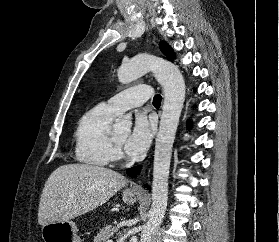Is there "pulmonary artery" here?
<instances>
[{
  "mask_svg": "<svg viewBox=\"0 0 279 242\" xmlns=\"http://www.w3.org/2000/svg\"><path fill=\"white\" fill-rule=\"evenodd\" d=\"M151 97V88L148 85H138L128 88L107 100L104 104L114 113L120 114L126 109L144 104Z\"/></svg>",
  "mask_w": 279,
  "mask_h": 242,
  "instance_id": "1",
  "label": "pulmonary artery"
}]
</instances>
